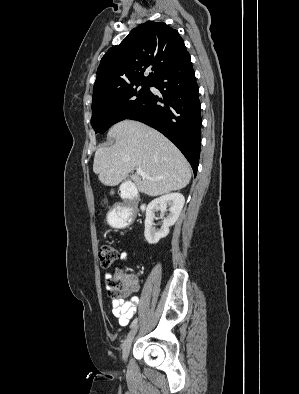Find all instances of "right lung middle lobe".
Here are the masks:
<instances>
[{
  "label": "right lung middle lobe",
  "mask_w": 299,
  "mask_h": 394,
  "mask_svg": "<svg viewBox=\"0 0 299 394\" xmlns=\"http://www.w3.org/2000/svg\"><path fill=\"white\" fill-rule=\"evenodd\" d=\"M151 82H137L93 94L91 125L96 133H104L124 120L146 98Z\"/></svg>",
  "instance_id": "dd1d6c3e"
}]
</instances>
